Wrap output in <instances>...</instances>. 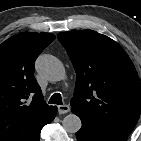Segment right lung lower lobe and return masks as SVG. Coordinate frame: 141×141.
Returning a JSON list of instances; mask_svg holds the SVG:
<instances>
[{
  "label": "right lung lower lobe",
  "instance_id": "1",
  "mask_svg": "<svg viewBox=\"0 0 141 141\" xmlns=\"http://www.w3.org/2000/svg\"><path fill=\"white\" fill-rule=\"evenodd\" d=\"M56 112H57V108L54 107L53 111H52V115L50 117V119L47 121L46 124L50 123L54 118H55V115H56ZM45 124V125H46ZM42 129V128H41ZM41 129L36 133L35 136L32 137V139L30 141H39V135H40V131Z\"/></svg>",
  "mask_w": 141,
  "mask_h": 141
}]
</instances>
